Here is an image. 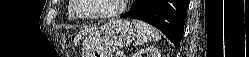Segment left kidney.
Wrapping results in <instances>:
<instances>
[{
	"label": "left kidney",
	"instance_id": "1",
	"mask_svg": "<svg viewBox=\"0 0 249 57\" xmlns=\"http://www.w3.org/2000/svg\"><path fill=\"white\" fill-rule=\"evenodd\" d=\"M133 57H161V53L155 47H147L139 50Z\"/></svg>",
	"mask_w": 249,
	"mask_h": 57
}]
</instances>
